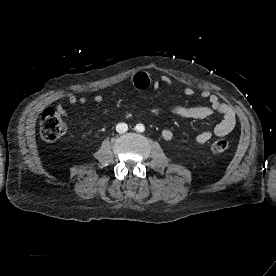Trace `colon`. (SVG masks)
<instances>
[{
    "instance_id": "5ec220e1",
    "label": "colon",
    "mask_w": 276,
    "mask_h": 276,
    "mask_svg": "<svg viewBox=\"0 0 276 276\" xmlns=\"http://www.w3.org/2000/svg\"><path fill=\"white\" fill-rule=\"evenodd\" d=\"M67 125L61 114L54 108H47L43 111L40 120V135L43 140L53 142L62 137ZM229 148V142L220 138L213 141L211 149L215 153H223Z\"/></svg>"
}]
</instances>
